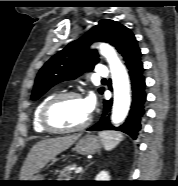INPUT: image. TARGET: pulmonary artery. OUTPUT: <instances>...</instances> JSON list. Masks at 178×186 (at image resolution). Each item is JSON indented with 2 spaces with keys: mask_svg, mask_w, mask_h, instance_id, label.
<instances>
[{
  "mask_svg": "<svg viewBox=\"0 0 178 186\" xmlns=\"http://www.w3.org/2000/svg\"><path fill=\"white\" fill-rule=\"evenodd\" d=\"M95 73L97 76L106 77L108 75V70L105 65L98 64L96 66Z\"/></svg>",
  "mask_w": 178,
  "mask_h": 186,
  "instance_id": "obj_1",
  "label": "pulmonary artery"
}]
</instances>
